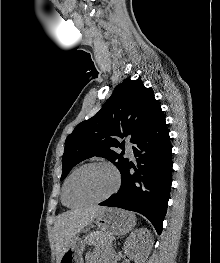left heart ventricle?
<instances>
[{"label":"left heart ventricle","mask_w":220,"mask_h":263,"mask_svg":"<svg viewBox=\"0 0 220 263\" xmlns=\"http://www.w3.org/2000/svg\"><path fill=\"white\" fill-rule=\"evenodd\" d=\"M114 185L113 173L104 166H90L77 172L68 187V201L83 203L102 197Z\"/></svg>","instance_id":"left-heart-ventricle-1"}]
</instances>
